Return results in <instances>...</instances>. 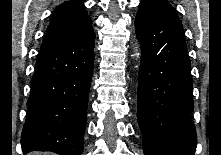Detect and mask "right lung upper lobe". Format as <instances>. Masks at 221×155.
<instances>
[{
    "instance_id": "cb5924a9",
    "label": "right lung upper lobe",
    "mask_w": 221,
    "mask_h": 155,
    "mask_svg": "<svg viewBox=\"0 0 221 155\" xmlns=\"http://www.w3.org/2000/svg\"><path fill=\"white\" fill-rule=\"evenodd\" d=\"M91 23L81 0H69L60 4L53 12L47 33H59L82 28Z\"/></svg>"
}]
</instances>
